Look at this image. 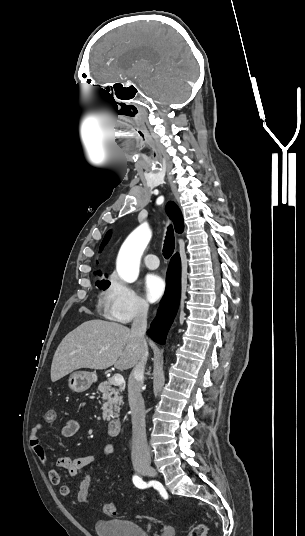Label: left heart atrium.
Returning a JSON list of instances; mask_svg holds the SVG:
<instances>
[{
	"label": "left heart atrium",
	"instance_id": "1",
	"mask_svg": "<svg viewBox=\"0 0 305 536\" xmlns=\"http://www.w3.org/2000/svg\"><path fill=\"white\" fill-rule=\"evenodd\" d=\"M144 291L149 301H158L165 291L164 280L157 274H148L144 279Z\"/></svg>",
	"mask_w": 305,
	"mask_h": 536
}]
</instances>
